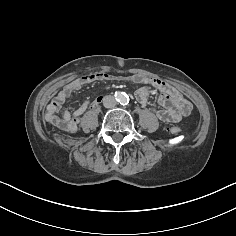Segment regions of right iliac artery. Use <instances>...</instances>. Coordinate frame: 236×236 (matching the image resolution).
Returning <instances> with one entry per match:
<instances>
[{
	"mask_svg": "<svg viewBox=\"0 0 236 236\" xmlns=\"http://www.w3.org/2000/svg\"><path fill=\"white\" fill-rule=\"evenodd\" d=\"M116 95H117L118 97H121V93H120V92H116Z\"/></svg>",
	"mask_w": 236,
	"mask_h": 236,
	"instance_id": "1",
	"label": "right iliac artery"
}]
</instances>
